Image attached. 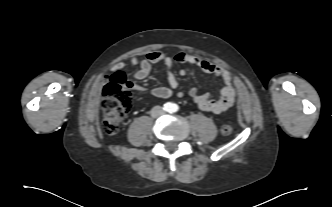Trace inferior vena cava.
<instances>
[{"label":"inferior vena cava","mask_w":332,"mask_h":207,"mask_svg":"<svg viewBox=\"0 0 332 207\" xmlns=\"http://www.w3.org/2000/svg\"><path fill=\"white\" fill-rule=\"evenodd\" d=\"M164 114V111L161 106H154L151 110V116L153 118H157L159 116H162Z\"/></svg>","instance_id":"602c4592"}]
</instances>
